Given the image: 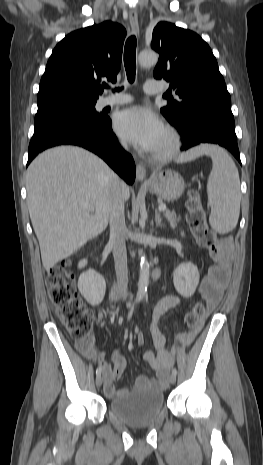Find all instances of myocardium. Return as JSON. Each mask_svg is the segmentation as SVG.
<instances>
[{"label":"myocardium","mask_w":263,"mask_h":465,"mask_svg":"<svg viewBox=\"0 0 263 465\" xmlns=\"http://www.w3.org/2000/svg\"><path fill=\"white\" fill-rule=\"evenodd\" d=\"M164 133L168 140L167 148L161 151H154L151 154L152 160L159 163L168 162L173 159L179 153L181 148L180 137L173 127L166 126Z\"/></svg>","instance_id":"myocardium-1"}]
</instances>
